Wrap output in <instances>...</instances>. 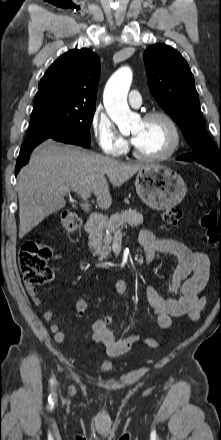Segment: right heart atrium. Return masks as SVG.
I'll return each mask as SVG.
<instances>
[{"label": "right heart atrium", "mask_w": 221, "mask_h": 440, "mask_svg": "<svg viewBox=\"0 0 221 440\" xmlns=\"http://www.w3.org/2000/svg\"><path fill=\"white\" fill-rule=\"evenodd\" d=\"M90 126L102 152L112 156H119L124 153L127 148V141L102 109L95 110Z\"/></svg>", "instance_id": "obj_1"}]
</instances>
